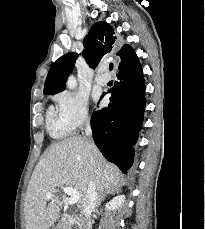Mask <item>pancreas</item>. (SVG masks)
Here are the masks:
<instances>
[{"label":"pancreas","mask_w":205,"mask_h":229,"mask_svg":"<svg viewBox=\"0 0 205 229\" xmlns=\"http://www.w3.org/2000/svg\"><path fill=\"white\" fill-rule=\"evenodd\" d=\"M57 229H68V226L65 225V222H62L61 224L58 225Z\"/></svg>","instance_id":"1"}]
</instances>
